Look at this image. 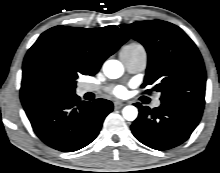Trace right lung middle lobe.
I'll return each mask as SVG.
<instances>
[{"label":"right lung middle lobe","instance_id":"obj_1","mask_svg":"<svg viewBox=\"0 0 220 173\" xmlns=\"http://www.w3.org/2000/svg\"><path fill=\"white\" fill-rule=\"evenodd\" d=\"M78 77L72 78L65 87H62L57 94H73L76 88V79Z\"/></svg>","mask_w":220,"mask_h":173}]
</instances>
